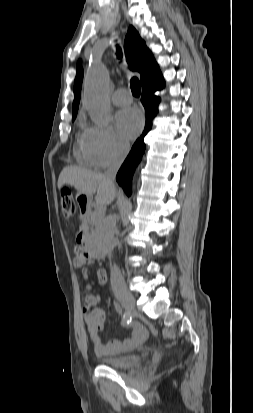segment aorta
I'll use <instances>...</instances> for the list:
<instances>
[{"label":"aorta","instance_id":"obj_1","mask_svg":"<svg viewBox=\"0 0 253 413\" xmlns=\"http://www.w3.org/2000/svg\"><path fill=\"white\" fill-rule=\"evenodd\" d=\"M110 90L111 80L107 68L100 63L93 64L85 77L83 103L96 124L106 125L111 119Z\"/></svg>","mask_w":253,"mask_h":413}]
</instances>
